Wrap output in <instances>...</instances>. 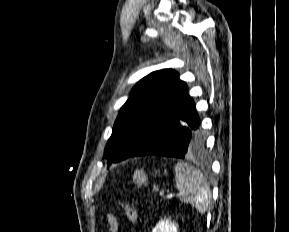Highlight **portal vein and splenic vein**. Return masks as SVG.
I'll use <instances>...</instances> for the list:
<instances>
[{"label":"portal vein and splenic vein","mask_w":289,"mask_h":232,"mask_svg":"<svg viewBox=\"0 0 289 232\" xmlns=\"http://www.w3.org/2000/svg\"><path fill=\"white\" fill-rule=\"evenodd\" d=\"M174 196H175V193L170 192V193L167 194L166 199H171V198H173Z\"/></svg>","instance_id":"obj_1"}]
</instances>
